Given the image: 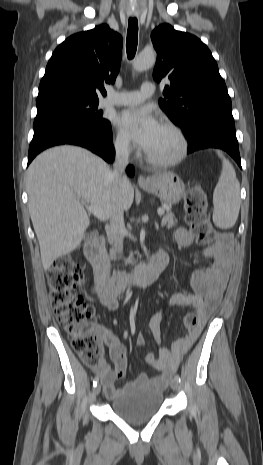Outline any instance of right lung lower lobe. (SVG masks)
Segmentation results:
<instances>
[{"instance_id": "obj_1", "label": "right lung lower lobe", "mask_w": 263, "mask_h": 465, "mask_svg": "<svg viewBox=\"0 0 263 465\" xmlns=\"http://www.w3.org/2000/svg\"><path fill=\"white\" fill-rule=\"evenodd\" d=\"M72 144L91 150L108 162L114 160L111 127L97 130L79 123L55 122L34 129L28 153V165L41 151L56 145ZM127 174L134 175V168L127 167Z\"/></svg>"}]
</instances>
